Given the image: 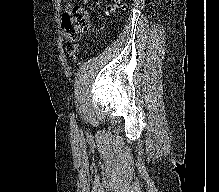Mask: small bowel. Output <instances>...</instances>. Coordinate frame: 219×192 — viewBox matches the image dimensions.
<instances>
[{"instance_id": "obj_1", "label": "small bowel", "mask_w": 219, "mask_h": 192, "mask_svg": "<svg viewBox=\"0 0 219 192\" xmlns=\"http://www.w3.org/2000/svg\"><path fill=\"white\" fill-rule=\"evenodd\" d=\"M83 2H87V0H83Z\"/></svg>"}]
</instances>
